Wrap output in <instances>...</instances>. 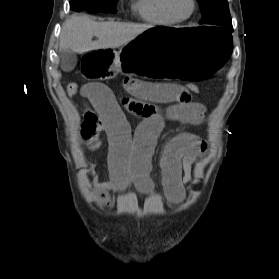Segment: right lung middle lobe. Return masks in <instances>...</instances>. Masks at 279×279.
Returning a JSON list of instances; mask_svg holds the SVG:
<instances>
[{
  "label": "right lung middle lobe",
  "instance_id": "right-lung-middle-lobe-1",
  "mask_svg": "<svg viewBox=\"0 0 279 279\" xmlns=\"http://www.w3.org/2000/svg\"><path fill=\"white\" fill-rule=\"evenodd\" d=\"M118 0H71V9L81 11L83 9L101 13H115Z\"/></svg>",
  "mask_w": 279,
  "mask_h": 279
}]
</instances>
